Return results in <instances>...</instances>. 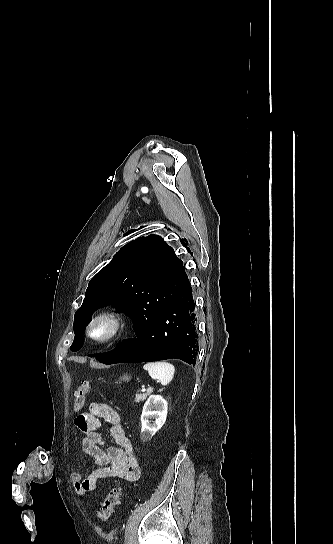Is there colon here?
Returning <instances> with one entry per match:
<instances>
[{
    "label": "colon",
    "mask_w": 333,
    "mask_h": 544,
    "mask_svg": "<svg viewBox=\"0 0 333 544\" xmlns=\"http://www.w3.org/2000/svg\"><path fill=\"white\" fill-rule=\"evenodd\" d=\"M92 392V388L88 381H82L80 388L75 392L73 409L75 412L80 411L84 404L86 397ZM121 490L118 487L112 488L107 496L101 501L98 517L102 521H107L112 518L115 507L120 502Z\"/></svg>",
    "instance_id": "1"
}]
</instances>
